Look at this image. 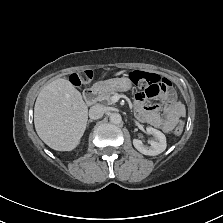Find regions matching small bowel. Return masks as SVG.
Instances as JSON below:
<instances>
[{
	"label": "small bowel",
	"instance_id": "1",
	"mask_svg": "<svg viewBox=\"0 0 223 223\" xmlns=\"http://www.w3.org/2000/svg\"><path fill=\"white\" fill-rule=\"evenodd\" d=\"M164 80L166 82L164 89L157 93H153L148 88L137 93L134 99V107L138 117L143 122L168 133L172 131L179 118L185 114V107L177 101L171 83L167 79ZM154 97H160L164 101L163 105H149L146 103V99ZM160 111H162V114Z\"/></svg>",
	"mask_w": 223,
	"mask_h": 223
}]
</instances>
